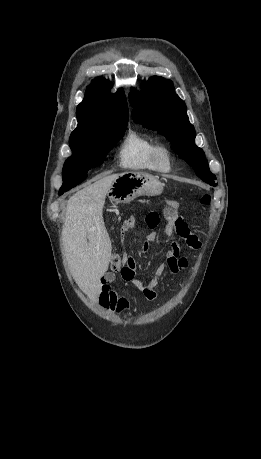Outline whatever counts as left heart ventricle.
I'll return each mask as SVG.
<instances>
[{
    "label": "left heart ventricle",
    "mask_w": 261,
    "mask_h": 459,
    "mask_svg": "<svg viewBox=\"0 0 261 459\" xmlns=\"http://www.w3.org/2000/svg\"><path fill=\"white\" fill-rule=\"evenodd\" d=\"M163 165H164V166L166 165V161H163Z\"/></svg>",
    "instance_id": "1"
}]
</instances>
